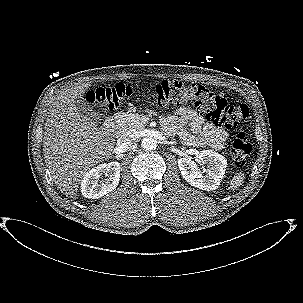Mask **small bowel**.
<instances>
[{"label":"small bowel","mask_w":303,"mask_h":303,"mask_svg":"<svg viewBox=\"0 0 303 303\" xmlns=\"http://www.w3.org/2000/svg\"><path fill=\"white\" fill-rule=\"evenodd\" d=\"M168 134H178L181 140L191 146L207 145L214 149L225 146L228 133L214 123L206 122L196 110L180 107L172 115L162 119ZM189 125L190 130L185 127Z\"/></svg>","instance_id":"small-bowel-1"}]
</instances>
